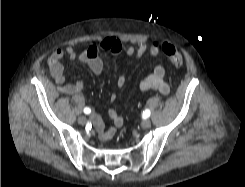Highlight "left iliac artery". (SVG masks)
I'll return each instance as SVG.
<instances>
[{
	"instance_id": "44dca946",
	"label": "left iliac artery",
	"mask_w": 245,
	"mask_h": 187,
	"mask_svg": "<svg viewBox=\"0 0 245 187\" xmlns=\"http://www.w3.org/2000/svg\"><path fill=\"white\" fill-rule=\"evenodd\" d=\"M143 114L146 116V117H149L150 116V110L146 109Z\"/></svg>"
}]
</instances>
